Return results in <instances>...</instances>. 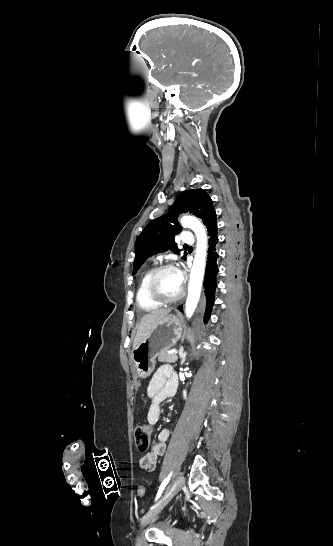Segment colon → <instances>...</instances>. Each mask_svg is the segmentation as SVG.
Returning a JSON list of instances; mask_svg holds the SVG:
<instances>
[{
    "label": "colon",
    "instance_id": "obj_1",
    "mask_svg": "<svg viewBox=\"0 0 333 546\" xmlns=\"http://www.w3.org/2000/svg\"><path fill=\"white\" fill-rule=\"evenodd\" d=\"M152 434L153 431L149 425L140 424L135 428L134 439L138 451L144 452L149 448ZM137 494L140 498H143L145 495V488L143 486H139Z\"/></svg>",
    "mask_w": 333,
    "mask_h": 546
}]
</instances>
